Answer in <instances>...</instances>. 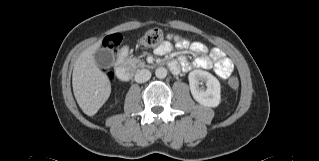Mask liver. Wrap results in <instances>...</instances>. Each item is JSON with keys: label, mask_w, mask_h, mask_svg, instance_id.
Wrapping results in <instances>:
<instances>
[{"label": "liver", "mask_w": 319, "mask_h": 161, "mask_svg": "<svg viewBox=\"0 0 319 161\" xmlns=\"http://www.w3.org/2000/svg\"><path fill=\"white\" fill-rule=\"evenodd\" d=\"M100 45L101 41H98L80 54L72 74L74 96L88 116L96 114L111 93L109 78L97 67L94 59Z\"/></svg>", "instance_id": "obj_1"}]
</instances>
